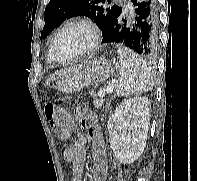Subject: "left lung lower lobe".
Masks as SVG:
<instances>
[{
	"label": "left lung lower lobe",
	"instance_id": "left-lung-lower-lobe-1",
	"mask_svg": "<svg viewBox=\"0 0 197 181\" xmlns=\"http://www.w3.org/2000/svg\"><path fill=\"white\" fill-rule=\"evenodd\" d=\"M132 10H123L108 27L102 43L122 44L139 55L153 56L158 48L157 0H131Z\"/></svg>",
	"mask_w": 197,
	"mask_h": 181
}]
</instances>
